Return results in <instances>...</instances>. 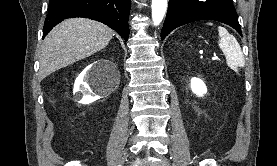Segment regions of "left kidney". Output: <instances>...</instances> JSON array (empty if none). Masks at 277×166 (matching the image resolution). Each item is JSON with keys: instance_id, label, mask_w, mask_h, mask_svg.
Wrapping results in <instances>:
<instances>
[{"instance_id": "left-kidney-1", "label": "left kidney", "mask_w": 277, "mask_h": 166, "mask_svg": "<svg viewBox=\"0 0 277 166\" xmlns=\"http://www.w3.org/2000/svg\"><path fill=\"white\" fill-rule=\"evenodd\" d=\"M190 86H191L192 92L199 97L207 93V87L205 83L199 78H196V77L192 78Z\"/></svg>"}]
</instances>
